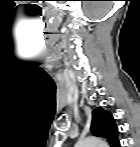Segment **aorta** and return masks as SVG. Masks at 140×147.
Segmentation results:
<instances>
[{
	"mask_svg": "<svg viewBox=\"0 0 140 147\" xmlns=\"http://www.w3.org/2000/svg\"><path fill=\"white\" fill-rule=\"evenodd\" d=\"M107 143L96 137H87L80 139L76 143V147H106Z\"/></svg>",
	"mask_w": 140,
	"mask_h": 147,
	"instance_id": "aorta-1",
	"label": "aorta"
}]
</instances>
